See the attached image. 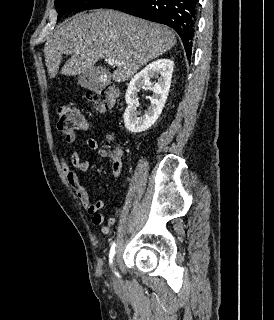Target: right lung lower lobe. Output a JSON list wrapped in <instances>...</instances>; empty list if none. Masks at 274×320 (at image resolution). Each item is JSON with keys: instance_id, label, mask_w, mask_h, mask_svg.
<instances>
[{"instance_id": "1", "label": "right lung lower lobe", "mask_w": 274, "mask_h": 320, "mask_svg": "<svg viewBox=\"0 0 274 320\" xmlns=\"http://www.w3.org/2000/svg\"><path fill=\"white\" fill-rule=\"evenodd\" d=\"M198 0H111L102 8L120 10L173 28L191 57L196 29Z\"/></svg>"}]
</instances>
